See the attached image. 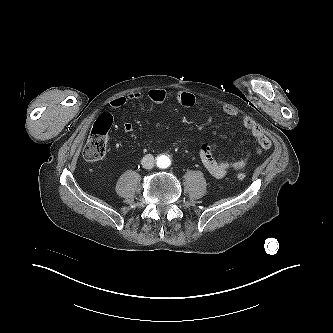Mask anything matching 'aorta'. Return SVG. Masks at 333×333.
<instances>
[{
    "label": "aorta",
    "instance_id": "762f6f07",
    "mask_svg": "<svg viewBox=\"0 0 333 333\" xmlns=\"http://www.w3.org/2000/svg\"><path fill=\"white\" fill-rule=\"evenodd\" d=\"M158 163H159V165H160L162 168H166V167L169 166V164H170V160H169V158L166 157V156H161V157L159 158V160H158Z\"/></svg>",
    "mask_w": 333,
    "mask_h": 333
}]
</instances>
